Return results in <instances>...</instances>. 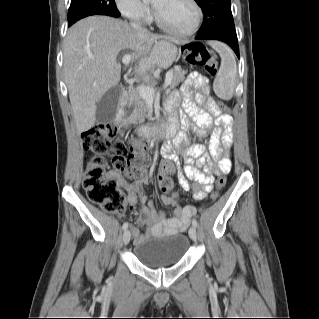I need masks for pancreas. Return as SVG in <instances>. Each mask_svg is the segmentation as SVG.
Wrapping results in <instances>:
<instances>
[{
  "label": "pancreas",
  "mask_w": 319,
  "mask_h": 319,
  "mask_svg": "<svg viewBox=\"0 0 319 319\" xmlns=\"http://www.w3.org/2000/svg\"><path fill=\"white\" fill-rule=\"evenodd\" d=\"M172 71V78L170 82V88L175 89L181 82L185 79V74L187 70H183L181 67L176 66ZM154 86V83H151ZM129 105H133L134 109L129 117V122L132 124H143L145 119L148 118V103L144 99L138 90H133L131 92V98L129 100Z\"/></svg>",
  "instance_id": "pancreas-1"
}]
</instances>
